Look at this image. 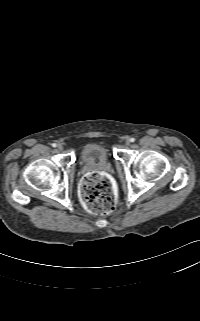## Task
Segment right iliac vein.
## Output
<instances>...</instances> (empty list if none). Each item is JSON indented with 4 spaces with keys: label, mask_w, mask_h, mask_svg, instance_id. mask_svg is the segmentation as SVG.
I'll list each match as a JSON object with an SVG mask.
<instances>
[{
    "label": "right iliac vein",
    "mask_w": 200,
    "mask_h": 321,
    "mask_svg": "<svg viewBox=\"0 0 200 321\" xmlns=\"http://www.w3.org/2000/svg\"><path fill=\"white\" fill-rule=\"evenodd\" d=\"M57 148H58L59 150H62V149H63V145H62V144H58V145H57Z\"/></svg>",
    "instance_id": "right-iliac-vein-1"
}]
</instances>
